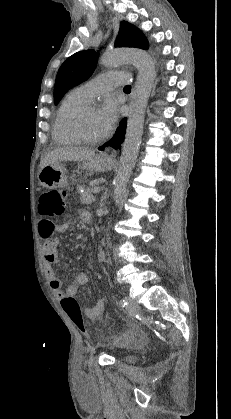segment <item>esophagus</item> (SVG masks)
Masks as SVG:
<instances>
[{
  "mask_svg": "<svg viewBox=\"0 0 231 419\" xmlns=\"http://www.w3.org/2000/svg\"><path fill=\"white\" fill-rule=\"evenodd\" d=\"M116 154H117V151L116 150H113L112 153H111V155H110V157H114V156H116Z\"/></svg>",
  "mask_w": 231,
  "mask_h": 419,
  "instance_id": "34e87169",
  "label": "esophagus"
}]
</instances>
